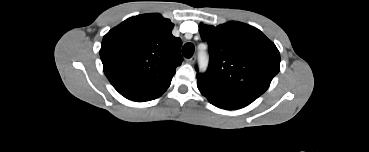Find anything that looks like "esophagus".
I'll use <instances>...</instances> for the list:
<instances>
[{
  "instance_id": "obj_1",
  "label": "esophagus",
  "mask_w": 369,
  "mask_h": 152,
  "mask_svg": "<svg viewBox=\"0 0 369 152\" xmlns=\"http://www.w3.org/2000/svg\"><path fill=\"white\" fill-rule=\"evenodd\" d=\"M196 61V56H192L191 58L187 59V63L193 65Z\"/></svg>"
}]
</instances>
